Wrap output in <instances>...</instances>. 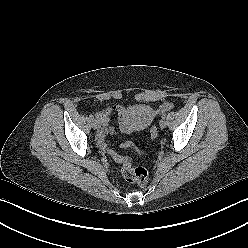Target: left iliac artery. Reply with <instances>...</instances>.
<instances>
[{"mask_svg":"<svg viewBox=\"0 0 248 248\" xmlns=\"http://www.w3.org/2000/svg\"><path fill=\"white\" fill-rule=\"evenodd\" d=\"M162 118H166V114H163Z\"/></svg>","mask_w":248,"mask_h":248,"instance_id":"obj_1","label":"left iliac artery"}]
</instances>
